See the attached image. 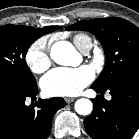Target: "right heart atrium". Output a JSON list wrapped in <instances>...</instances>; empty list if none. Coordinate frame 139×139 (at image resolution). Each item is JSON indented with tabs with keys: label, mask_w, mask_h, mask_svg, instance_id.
<instances>
[{
	"label": "right heart atrium",
	"mask_w": 139,
	"mask_h": 139,
	"mask_svg": "<svg viewBox=\"0 0 139 139\" xmlns=\"http://www.w3.org/2000/svg\"><path fill=\"white\" fill-rule=\"evenodd\" d=\"M25 61L34 73H42L51 64L49 55V41L46 37L35 40L27 49Z\"/></svg>",
	"instance_id": "d8ad5b80"
}]
</instances>
